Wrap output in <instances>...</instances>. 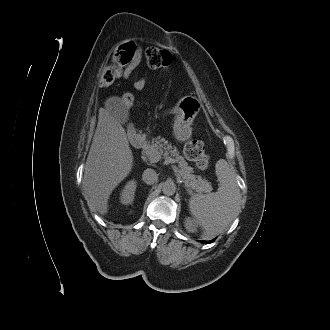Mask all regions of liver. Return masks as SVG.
<instances>
[{
	"instance_id": "6515ba94",
	"label": "liver",
	"mask_w": 330,
	"mask_h": 330,
	"mask_svg": "<svg viewBox=\"0 0 330 330\" xmlns=\"http://www.w3.org/2000/svg\"><path fill=\"white\" fill-rule=\"evenodd\" d=\"M99 109L98 124L87 156L84 189L91 209L108 213L113 189L124 180L133 166V154L125 129L115 111L119 104Z\"/></svg>"
}]
</instances>
